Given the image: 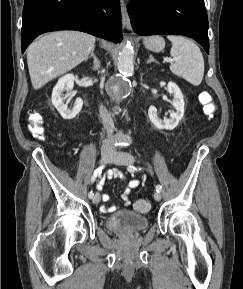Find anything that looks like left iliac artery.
<instances>
[{"mask_svg":"<svg viewBox=\"0 0 243 289\" xmlns=\"http://www.w3.org/2000/svg\"><path fill=\"white\" fill-rule=\"evenodd\" d=\"M128 170L131 171V172H134V171H136V170H141V168H138V169H137L135 166L130 165V166L128 167ZM161 190H162L161 185H156V191H157V192H161Z\"/></svg>","mask_w":243,"mask_h":289,"instance_id":"left-iliac-artery-1","label":"left iliac artery"}]
</instances>
